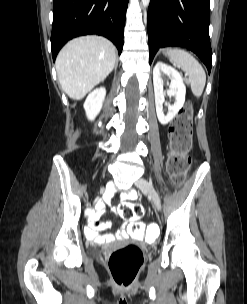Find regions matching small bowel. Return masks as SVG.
<instances>
[{"instance_id":"c3829d8e","label":"small bowel","mask_w":247,"mask_h":304,"mask_svg":"<svg viewBox=\"0 0 247 304\" xmlns=\"http://www.w3.org/2000/svg\"><path fill=\"white\" fill-rule=\"evenodd\" d=\"M136 193L134 191H129L125 194V199L136 198ZM104 205H98L97 209L93 211L90 215V225L86 229V235L88 239L92 242L103 244L114 241L116 238H124L130 226L125 225L116 235L115 234H102L101 232L110 227L109 222L100 221V216L102 215Z\"/></svg>"}]
</instances>
